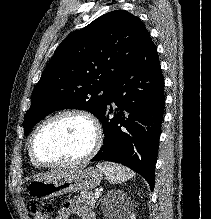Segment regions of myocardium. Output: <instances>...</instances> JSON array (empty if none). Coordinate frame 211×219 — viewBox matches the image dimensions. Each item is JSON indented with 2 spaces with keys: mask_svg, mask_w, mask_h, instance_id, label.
<instances>
[{
  "mask_svg": "<svg viewBox=\"0 0 211 219\" xmlns=\"http://www.w3.org/2000/svg\"><path fill=\"white\" fill-rule=\"evenodd\" d=\"M64 116H74V117L81 118L90 125L92 129V133H93L92 145L89 148V150L82 157L78 159L70 160V161H63V162H44L40 160L35 154L34 144H35L36 138L44 126H46L51 121L57 118H60V117H64ZM101 143H102L101 127L93 115H91L90 113L86 111L79 110V109H65V110H61L59 112H56L50 115L35 128L29 140L28 153H29V157L31 161L35 163L38 167H42V168L75 167V166H79V165H82L90 161L100 150Z\"/></svg>",
  "mask_w": 211,
  "mask_h": 219,
  "instance_id": "myocardium-1",
  "label": "myocardium"
}]
</instances>
